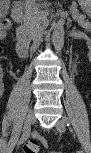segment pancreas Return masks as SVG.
<instances>
[{
  "instance_id": "obj_1",
  "label": "pancreas",
  "mask_w": 91,
  "mask_h": 153,
  "mask_svg": "<svg viewBox=\"0 0 91 153\" xmlns=\"http://www.w3.org/2000/svg\"><path fill=\"white\" fill-rule=\"evenodd\" d=\"M72 14L74 19L87 30L90 29V22L86 20L85 16L79 15L77 9H72ZM39 24V14L34 13L32 16L28 17L23 24V30L26 33V36L31 39L34 30L37 28Z\"/></svg>"
}]
</instances>
